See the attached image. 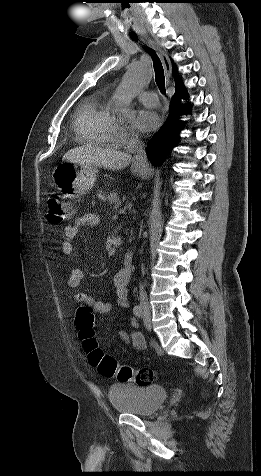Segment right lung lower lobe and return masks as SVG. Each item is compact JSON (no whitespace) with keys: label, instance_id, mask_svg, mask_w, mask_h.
Segmentation results:
<instances>
[{"label":"right lung lower lobe","instance_id":"right-lung-lower-lobe-1","mask_svg":"<svg viewBox=\"0 0 261 476\" xmlns=\"http://www.w3.org/2000/svg\"><path fill=\"white\" fill-rule=\"evenodd\" d=\"M181 98L187 99L185 88L179 84L172 98L168 121L151 139L146 149L147 155L154 164L161 163L170 149L179 141V133L183 129V123L179 118L187 114L190 108V105L180 103Z\"/></svg>","mask_w":261,"mask_h":476}]
</instances>
